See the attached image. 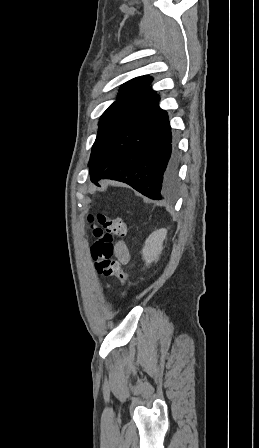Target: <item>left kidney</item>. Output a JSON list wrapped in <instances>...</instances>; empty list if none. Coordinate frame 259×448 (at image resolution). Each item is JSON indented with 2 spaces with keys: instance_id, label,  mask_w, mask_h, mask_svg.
I'll list each match as a JSON object with an SVG mask.
<instances>
[{
  "instance_id": "obj_1",
  "label": "left kidney",
  "mask_w": 259,
  "mask_h": 448,
  "mask_svg": "<svg viewBox=\"0 0 259 448\" xmlns=\"http://www.w3.org/2000/svg\"><path fill=\"white\" fill-rule=\"evenodd\" d=\"M167 236V230H156V232H152L149 238L145 240V246L142 250L143 260H145L147 266L151 264V262H158L159 256L163 250V242Z\"/></svg>"
}]
</instances>
